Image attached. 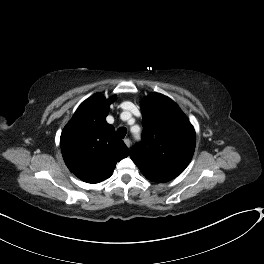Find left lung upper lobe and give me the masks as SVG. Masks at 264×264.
<instances>
[{"label":"left lung upper lobe","mask_w":264,"mask_h":264,"mask_svg":"<svg viewBox=\"0 0 264 264\" xmlns=\"http://www.w3.org/2000/svg\"><path fill=\"white\" fill-rule=\"evenodd\" d=\"M142 141L130 157L142 174L154 182H168L191 161L196 135L185 114L170 98L152 93L141 103Z\"/></svg>","instance_id":"5c2ea615"}]
</instances>
